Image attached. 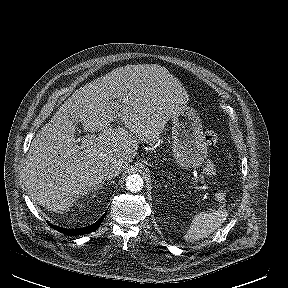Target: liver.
Instances as JSON below:
<instances>
[{
  "instance_id": "1",
  "label": "liver",
  "mask_w": 288,
  "mask_h": 288,
  "mask_svg": "<svg viewBox=\"0 0 288 288\" xmlns=\"http://www.w3.org/2000/svg\"><path fill=\"white\" fill-rule=\"evenodd\" d=\"M188 100L181 82L157 64L126 65L77 89L33 139L25 165L29 195L53 212L102 183V164L125 170L140 143L153 145ZM77 118L86 132L75 138ZM120 121L124 126L112 127ZM74 197V198H73Z\"/></svg>"
}]
</instances>
